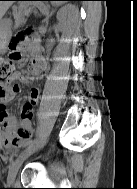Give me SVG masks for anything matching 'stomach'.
Listing matches in <instances>:
<instances>
[{
    "mask_svg": "<svg viewBox=\"0 0 137 189\" xmlns=\"http://www.w3.org/2000/svg\"><path fill=\"white\" fill-rule=\"evenodd\" d=\"M37 5V1L33 2ZM11 23L7 19L0 20V43H6L10 37Z\"/></svg>",
    "mask_w": 137,
    "mask_h": 189,
    "instance_id": "0dacf381",
    "label": "stomach"
}]
</instances>
